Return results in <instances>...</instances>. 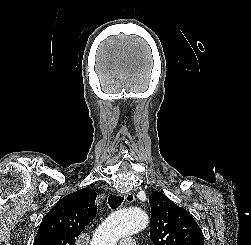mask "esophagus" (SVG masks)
I'll return each instance as SVG.
<instances>
[{
    "label": "esophagus",
    "instance_id": "obj_1",
    "mask_svg": "<svg viewBox=\"0 0 251 245\" xmlns=\"http://www.w3.org/2000/svg\"><path fill=\"white\" fill-rule=\"evenodd\" d=\"M125 200H126V202H128V203L133 202V201L135 200L134 194L131 193V192L127 193V194L125 195Z\"/></svg>",
    "mask_w": 251,
    "mask_h": 245
}]
</instances>
